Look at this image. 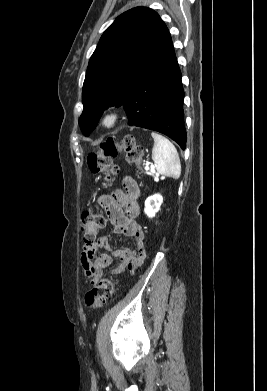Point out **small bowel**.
<instances>
[{"label": "small bowel", "instance_id": "small-bowel-1", "mask_svg": "<svg viewBox=\"0 0 267 391\" xmlns=\"http://www.w3.org/2000/svg\"><path fill=\"white\" fill-rule=\"evenodd\" d=\"M122 187L123 191L101 196L99 203L106 210L113 231L132 238L134 248L122 247L113 250L105 236L98 238L92 246L84 248L81 263L92 285H96L102 279L103 271L112 264L113 257L119 260L111 269V273L115 275L126 270L134 272L146 258L145 235L141 225L136 221L140 213L139 186L132 177H125Z\"/></svg>", "mask_w": 267, "mask_h": 391}]
</instances>
